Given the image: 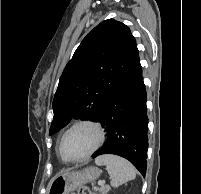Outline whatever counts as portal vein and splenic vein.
<instances>
[{"mask_svg": "<svg viewBox=\"0 0 201 194\" xmlns=\"http://www.w3.org/2000/svg\"><path fill=\"white\" fill-rule=\"evenodd\" d=\"M98 185H99V186H103V185H104V182H103V181H99V182H98Z\"/></svg>", "mask_w": 201, "mask_h": 194, "instance_id": "18ae733b", "label": "portal vein and splenic vein"}]
</instances>
